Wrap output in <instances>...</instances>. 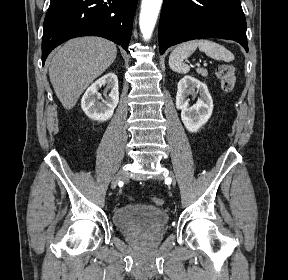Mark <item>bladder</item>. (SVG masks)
<instances>
[{"mask_svg":"<svg viewBox=\"0 0 288 280\" xmlns=\"http://www.w3.org/2000/svg\"><path fill=\"white\" fill-rule=\"evenodd\" d=\"M112 220L120 229L157 232L166 227L169 216L161 208L136 204L117 208L113 212Z\"/></svg>","mask_w":288,"mask_h":280,"instance_id":"obj_1","label":"bladder"}]
</instances>
